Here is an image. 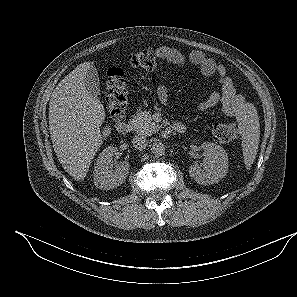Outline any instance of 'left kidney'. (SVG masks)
Returning <instances> with one entry per match:
<instances>
[{
    "label": "left kidney",
    "instance_id": "5707ae66",
    "mask_svg": "<svg viewBox=\"0 0 297 297\" xmlns=\"http://www.w3.org/2000/svg\"><path fill=\"white\" fill-rule=\"evenodd\" d=\"M204 150L203 169L200 165H192L190 176L199 184H215L222 179L228 171V156L219 145L210 142L201 144Z\"/></svg>",
    "mask_w": 297,
    "mask_h": 297
}]
</instances>
